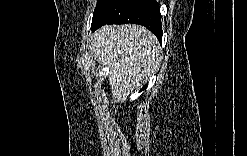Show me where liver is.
I'll list each match as a JSON object with an SVG mask.
<instances>
[{
  "instance_id": "liver-1",
  "label": "liver",
  "mask_w": 247,
  "mask_h": 156,
  "mask_svg": "<svg viewBox=\"0 0 247 156\" xmlns=\"http://www.w3.org/2000/svg\"><path fill=\"white\" fill-rule=\"evenodd\" d=\"M91 46L94 58L107 67L118 102H125L161 63L157 38L139 25L104 26L93 34Z\"/></svg>"
}]
</instances>
